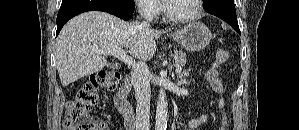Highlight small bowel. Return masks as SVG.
<instances>
[{
	"mask_svg": "<svg viewBox=\"0 0 299 130\" xmlns=\"http://www.w3.org/2000/svg\"><path fill=\"white\" fill-rule=\"evenodd\" d=\"M225 105V101H224V98L219 95L218 96V107L219 108H222L224 107ZM207 115H202L198 118H194V119H191L185 126H184V130H197L201 125H203L206 121H207ZM105 128L107 130H109V128L104 125Z\"/></svg>",
	"mask_w": 299,
	"mask_h": 130,
	"instance_id": "obj_1",
	"label": "small bowel"
}]
</instances>
